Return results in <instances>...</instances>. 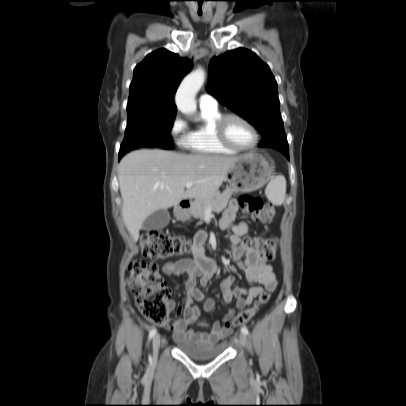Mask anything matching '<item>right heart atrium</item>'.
Masks as SVG:
<instances>
[{
  "mask_svg": "<svg viewBox=\"0 0 406 406\" xmlns=\"http://www.w3.org/2000/svg\"><path fill=\"white\" fill-rule=\"evenodd\" d=\"M170 132L179 146H186L189 136L188 124L180 114L174 116L171 122Z\"/></svg>",
  "mask_w": 406,
  "mask_h": 406,
  "instance_id": "right-heart-atrium-1",
  "label": "right heart atrium"
}]
</instances>
